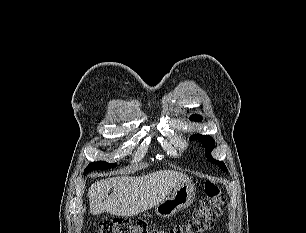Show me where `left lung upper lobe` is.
<instances>
[{
	"label": "left lung upper lobe",
	"instance_id": "obj_1",
	"mask_svg": "<svg viewBox=\"0 0 306 233\" xmlns=\"http://www.w3.org/2000/svg\"><path fill=\"white\" fill-rule=\"evenodd\" d=\"M190 120L192 121H202V117L200 115H192L190 117ZM197 138L202 145L205 147V153L208 159L212 162L217 164L223 171L228 172L225 164L222 161H217L211 156V151L213 150L215 146V141L210 137L209 135H201V134H195L190 137V140Z\"/></svg>",
	"mask_w": 306,
	"mask_h": 233
}]
</instances>
